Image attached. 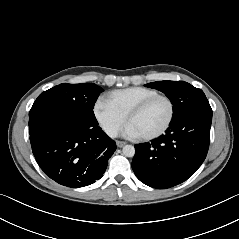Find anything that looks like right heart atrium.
<instances>
[{
	"label": "right heart atrium",
	"mask_w": 239,
	"mask_h": 239,
	"mask_svg": "<svg viewBox=\"0 0 239 239\" xmlns=\"http://www.w3.org/2000/svg\"><path fill=\"white\" fill-rule=\"evenodd\" d=\"M93 111L99 125L110 137H115L126 122L127 116L112 107L106 100H98Z\"/></svg>",
	"instance_id": "obj_1"
}]
</instances>
